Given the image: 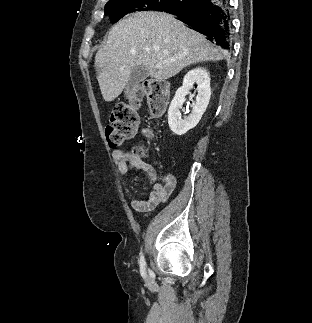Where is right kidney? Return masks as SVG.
Returning <instances> with one entry per match:
<instances>
[{
    "label": "right kidney",
    "instance_id": "1",
    "mask_svg": "<svg viewBox=\"0 0 312 323\" xmlns=\"http://www.w3.org/2000/svg\"><path fill=\"white\" fill-rule=\"evenodd\" d=\"M194 84H197L196 102L191 104L192 112L188 116H183L182 120L180 110L184 102H186L185 96H187L191 88H194ZM210 96L211 88L208 70L202 68V66L190 70L184 76L183 86L178 88L168 110L169 128H171L176 136H183L188 130H192V128L197 126L209 104ZM182 112H185V110H182Z\"/></svg>",
    "mask_w": 312,
    "mask_h": 323
}]
</instances>
